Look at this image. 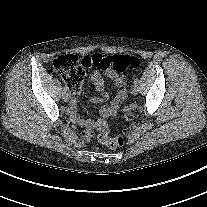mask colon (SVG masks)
<instances>
[{
  "instance_id": "5ec220e1",
  "label": "colon",
  "mask_w": 207,
  "mask_h": 207,
  "mask_svg": "<svg viewBox=\"0 0 207 207\" xmlns=\"http://www.w3.org/2000/svg\"><path fill=\"white\" fill-rule=\"evenodd\" d=\"M141 61L138 57L128 54L103 56L95 54L79 58L75 55H61L53 60V68L61 76L65 85L70 91H78L81 87L87 68L96 67L103 71L113 70L122 72L127 69H136L140 66ZM124 118L131 121L133 118L132 107L124 108ZM99 134L96 137L93 132L86 131L83 137L87 141H99L109 148L115 149L124 145L126 130H123L117 136L109 135V128L105 121L99 119L96 123Z\"/></svg>"
}]
</instances>
